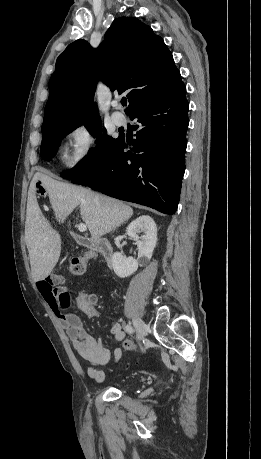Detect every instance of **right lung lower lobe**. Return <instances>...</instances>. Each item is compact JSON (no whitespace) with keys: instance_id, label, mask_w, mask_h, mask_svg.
<instances>
[{"instance_id":"98d812e1","label":"right lung lower lobe","mask_w":261,"mask_h":459,"mask_svg":"<svg viewBox=\"0 0 261 459\" xmlns=\"http://www.w3.org/2000/svg\"><path fill=\"white\" fill-rule=\"evenodd\" d=\"M183 82L166 96L142 104L130 114L137 119L136 139L120 137L106 160L72 182L108 196L174 214L185 170L186 131L189 124Z\"/></svg>"}]
</instances>
